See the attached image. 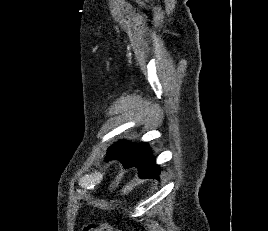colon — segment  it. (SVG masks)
Segmentation results:
<instances>
[{"label": "colon", "mask_w": 268, "mask_h": 231, "mask_svg": "<svg viewBox=\"0 0 268 231\" xmlns=\"http://www.w3.org/2000/svg\"><path fill=\"white\" fill-rule=\"evenodd\" d=\"M82 231H113L112 226L109 223H100L98 225L89 223L84 225Z\"/></svg>", "instance_id": "colon-1"}]
</instances>
